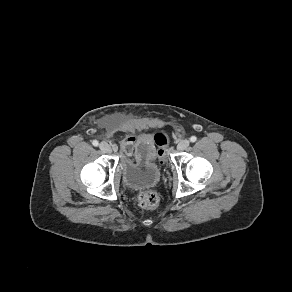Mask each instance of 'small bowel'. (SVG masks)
Masks as SVG:
<instances>
[{
	"label": "small bowel",
	"mask_w": 292,
	"mask_h": 292,
	"mask_svg": "<svg viewBox=\"0 0 292 292\" xmlns=\"http://www.w3.org/2000/svg\"><path fill=\"white\" fill-rule=\"evenodd\" d=\"M155 144H157L156 136L140 135L137 138H125L121 146L127 157L135 160L145 159L150 162L157 156Z\"/></svg>",
	"instance_id": "small-bowel-1"
}]
</instances>
